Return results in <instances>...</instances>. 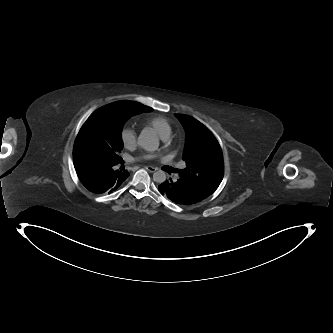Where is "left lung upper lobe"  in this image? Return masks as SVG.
<instances>
[{"label": "left lung upper lobe", "instance_id": "5c2ea615", "mask_svg": "<svg viewBox=\"0 0 333 333\" xmlns=\"http://www.w3.org/2000/svg\"><path fill=\"white\" fill-rule=\"evenodd\" d=\"M186 132L182 159L186 167L177 178L202 196H210L223 178V156L220 145L211 131L201 122L184 114H175Z\"/></svg>", "mask_w": 333, "mask_h": 333}]
</instances>
